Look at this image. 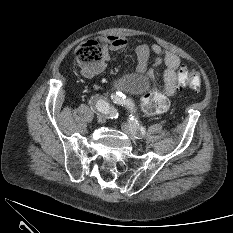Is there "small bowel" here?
Returning a JSON list of instances; mask_svg holds the SVG:
<instances>
[{
    "mask_svg": "<svg viewBox=\"0 0 233 233\" xmlns=\"http://www.w3.org/2000/svg\"><path fill=\"white\" fill-rule=\"evenodd\" d=\"M102 43L104 45V59L107 60L109 54L114 51L124 50L131 42L121 36H106L102 38ZM135 50L138 55L139 64L137 67V72L142 73L147 66V61L149 58L150 52H153L156 56L154 66L164 64V93L166 96H172L177 90V80L179 70L182 69L181 61L179 57L167 50H164L157 44L152 45L151 47L145 43L135 44ZM103 68V64L100 66L84 70L86 77L96 76Z\"/></svg>",
    "mask_w": 233,
    "mask_h": 233,
    "instance_id": "obj_1",
    "label": "small bowel"
}]
</instances>
